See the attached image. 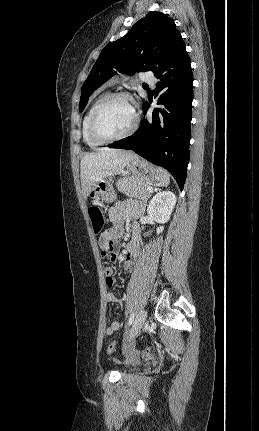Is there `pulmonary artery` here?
<instances>
[{"mask_svg":"<svg viewBox=\"0 0 259 431\" xmlns=\"http://www.w3.org/2000/svg\"><path fill=\"white\" fill-rule=\"evenodd\" d=\"M142 80L147 82V83H150V84H154V82H155V78L151 74H145L143 76Z\"/></svg>","mask_w":259,"mask_h":431,"instance_id":"1","label":"pulmonary artery"}]
</instances>
